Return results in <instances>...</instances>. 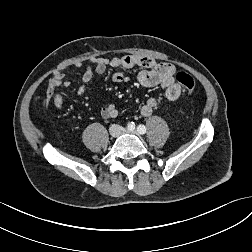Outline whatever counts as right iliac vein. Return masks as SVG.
<instances>
[{"label": "right iliac vein", "mask_w": 252, "mask_h": 252, "mask_svg": "<svg viewBox=\"0 0 252 252\" xmlns=\"http://www.w3.org/2000/svg\"><path fill=\"white\" fill-rule=\"evenodd\" d=\"M120 132V128L118 126H113L110 130L112 136H117Z\"/></svg>", "instance_id": "63e3f726"}]
</instances>
